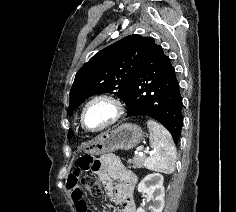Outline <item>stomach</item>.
Masks as SVG:
<instances>
[{
	"instance_id": "obj_1",
	"label": "stomach",
	"mask_w": 236,
	"mask_h": 212,
	"mask_svg": "<svg viewBox=\"0 0 236 212\" xmlns=\"http://www.w3.org/2000/svg\"><path fill=\"white\" fill-rule=\"evenodd\" d=\"M144 137L142 129L132 123H125L114 130L98 135L85 149L91 155H102L117 150H130Z\"/></svg>"
}]
</instances>
